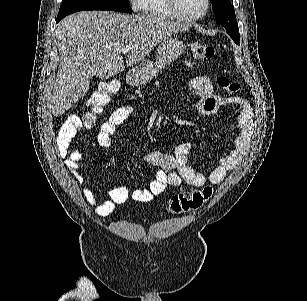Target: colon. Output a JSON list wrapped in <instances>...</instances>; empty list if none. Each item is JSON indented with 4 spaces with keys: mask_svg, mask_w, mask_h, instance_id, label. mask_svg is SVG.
Instances as JSON below:
<instances>
[{
    "mask_svg": "<svg viewBox=\"0 0 307 301\" xmlns=\"http://www.w3.org/2000/svg\"><path fill=\"white\" fill-rule=\"evenodd\" d=\"M191 51L193 57L198 61L210 60L215 53L213 46L203 41L193 42ZM217 84L221 89L229 93H234L239 89L238 83L231 81L225 76L218 77ZM119 89L120 85L116 81L105 82L100 86L90 97L87 111L79 116L82 127L86 129H94L96 127L98 116L119 92ZM212 193L213 189L210 186L198 190L181 192L169 199L166 208L173 214H183L198 210L211 198Z\"/></svg>",
    "mask_w": 307,
    "mask_h": 301,
    "instance_id": "5ec220e1",
    "label": "colon"
}]
</instances>
